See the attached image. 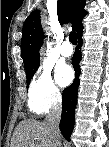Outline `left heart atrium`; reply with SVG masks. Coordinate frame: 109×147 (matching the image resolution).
I'll use <instances>...</instances> for the list:
<instances>
[{
  "instance_id": "1",
  "label": "left heart atrium",
  "mask_w": 109,
  "mask_h": 147,
  "mask_svg": "<svg viewBox=\"0 0 109 147\" xmlns=\"http://www.w3.org/2000/svg\"><path fill=\"white\" fill-rule=\"evenodd\" d=\"M55 76L59 84L67 85L72 81L73 71L69 66L60 65L56 69Z\"/></svg>"
}]
</instances>
